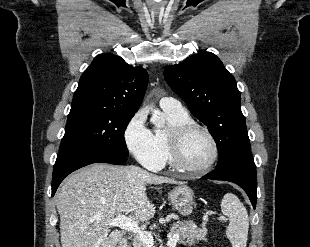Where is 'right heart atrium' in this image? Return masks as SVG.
<instances>
[{
  "instance_id": "d8ad5b80",
  "label": "right heart atrium",
  "mask_w": 310,
  "mask_h": 247,
  "mask_svg": "<svg viewBox=\"0 0 310 247\" xmlns=\"http://www.w3.org/2000/svg\"><path fill=\"white\" fill-rule=\"evenodd\" d=\"M146 112L139 110L127 123L123 137L129 152L144 167L161 169V159L152 131L146 124Z\"/></svg>"
}]
</instances>
